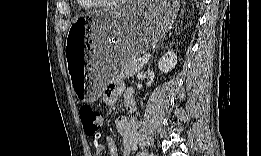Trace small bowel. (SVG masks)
Segmentation results:
<instances>
[{
    "mask_svg": "<svg viewBox=\"0 0 261 156\" xmlns=\"http://www.w3.org/2000/svg\"><path fill=\"white\" fill-rule=\"evenodd\" d=\"M123 90L119 84L111 83L104 91V101L107 105H114L118 94ZM125 105L129 112H134L136 109L135 102L130 89L125 91ZM117 130L122 137V155L129 156L136 148L138 141V120L135 117L127 118L119 116L116 120ZM109 154L118 156V150L115 142L111 138H107ZM106 154V148L101 143H96L94 146V155L103 156Z\"/></svg>",
    "mask_w": 261,
    "mask_h": 156,
    "instance_id": "1",
    "label": "small bowel"
}]
</instances>
